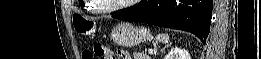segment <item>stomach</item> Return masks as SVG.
Instances as JSON below:
<instances>
[{
	"label": "stomach",
	"instance_id": "0dacf381",
	"mask_svg": "<svg viewBox=\"0 0 261 59\" xmlns=\"http://www.w3.org/2000/svg\"><path fill=\"white\" fill-rule=\"evenodd\" d=\"M110 38L119 46L133 47L151 38L147 28L134 26L128 22H122L113 28Z\"/></svg>",
	"mask_w": 261,
	"mask_h": 59
}]
</instances>
